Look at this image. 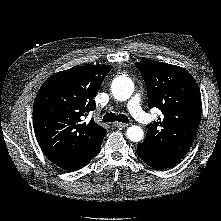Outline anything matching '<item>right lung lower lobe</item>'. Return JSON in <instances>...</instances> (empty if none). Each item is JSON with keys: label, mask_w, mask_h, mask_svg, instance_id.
<instances>
[{"label": "right lung lower lobe", "mask_w": 221, "mask_h": 221, "mask_svg": "<svg viewBox=\"0 0 221 221\" xmlns=\"http://www.w3.org/2000/svg\"><path fill=\"white\" fill-rule=\"evenodd\" d=\"M101 144L81 157H48L53 163L65 170H78L91 161L100 151Z\"/></svg>", "instance_id": "1"}]
</instances>
